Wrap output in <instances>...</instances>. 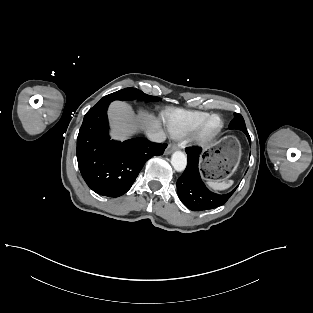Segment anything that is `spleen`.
Wrapping results in <instances>:
<instances>
[{
	"mask_svg": "<svg viewBox=\"0 0 313 313\" xmlns=\"http://www.w3.org/2000/svg\"><path fill=\"white\" fill-rule=\"evenodd\" d=\"M234 181L233 180H226V181H212L208 180L207 185L212 188L213 190H225L228 189L233 185Z\"/></svg>",
	"mask_w": 313,
	"mask_h": 313,
	"instance_id": "obj_1",
	"label": "spleen"
}]
</instances>
